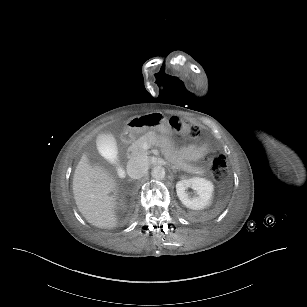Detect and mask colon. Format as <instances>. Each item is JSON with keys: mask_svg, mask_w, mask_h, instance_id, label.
I'll return each instance as SVG.
<instances>
[{"mask_svg": "<svg viewBox=\"0 0 307 307\" xmlns=\"http://www.w3.org/2000/svg\"><path fill=\"white\" fill-rule=\"evenodd\" d=\"M168 124L173 131L186 140H194L199 136L200 129L197 125L184 122L178 117H170ZM206 162L217 180L227 176V157L221 152H210L206 155Z\"/></svg>", "mask_w": 307, "mask_h": 307, "instance_id": "obj_1", "label": "colon"}]
</instances>
